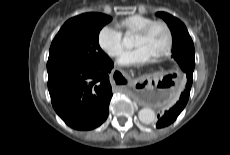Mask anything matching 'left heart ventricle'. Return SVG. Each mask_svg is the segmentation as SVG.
<instances>
[{
  "mask_svg": "<svg viewBox=\"0 0 230 155\" xmlns=\"http://www.w3.org/2000/svg\"><path fill=\"white\" fill-rule=\"evenodd\" d=\"M167 40L166 30L162 26H156L145 37L135 36L133 45L136 48H147L155 57L165 48Z\"/></svg>",
  "mask_w": 230,
  "mask_h": 155,
  "instance_id": "b2bd125f",
  "label": "left heart ventricle"
}]
</instances>
